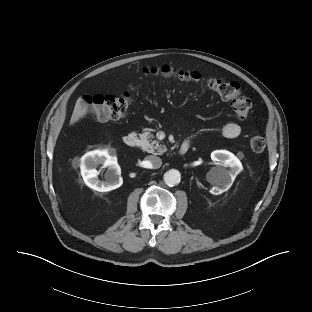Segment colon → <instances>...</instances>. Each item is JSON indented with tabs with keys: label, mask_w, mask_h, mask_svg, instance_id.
<instances>
[{
	"label": "colon",
	"mask_w": 312,
	"mask_h": 312,
	"mask_svg": "<svg viewBox=\"0 0 312 312\" xmlns=\"http://www.w3.org/2000/svg\"><path fill=\"white\" fill-rule=\"evenodd\" d=\"M147 74H159L163 76H176L185 81H199L201 75L197 72L176 70L169 66L161 68L145 69ZM208 86L218 93L223 99L229 101L231 108L238 119H245L249 116L252 108L251 100L242 95L237 82L223 79L211 78ZM87 110L96 119L105 121L124 117L130 105L128 94L121 96L94 95L86 99ZM250 148L253 152L260 153L265 148V140L261 136H254L250 139Z\"/></svg>",
	"instance_id": "obj_1"
}]
</instances>
